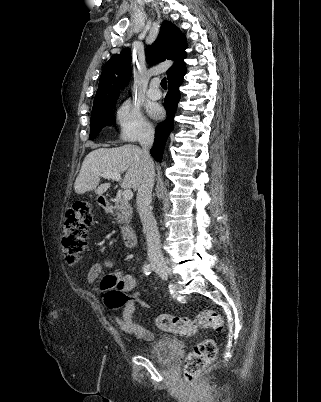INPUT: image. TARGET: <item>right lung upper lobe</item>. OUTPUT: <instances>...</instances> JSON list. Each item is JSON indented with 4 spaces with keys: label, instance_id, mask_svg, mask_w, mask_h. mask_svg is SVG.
I'll return each mask as SVG.
<instances>
[{
    "label": "right lung upper lobe",
    "instance_id": "cb5924a9",
    "mask_svg": "<svg viewBox=\"0 0 321 402\" xmlns=\"http://www.w3.org/2000/svg\"><path fill=\"white\" fill-rule=\"evenodd\" d=\"M187 48L184 34L171 22L164 21L157 40L146 48L148 63L162 62L168 59L174 64L167 70L168 80L186 70L184 59ZM131 51L125 48L120 54L113 55L104 65L97 93L94 98V107L105 106L116 101L119 95V86L126 85L131 78Z\"/></svg>",
    "mask_w": 321,
    "mask_h": 402
}]
</instances>
